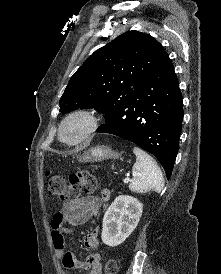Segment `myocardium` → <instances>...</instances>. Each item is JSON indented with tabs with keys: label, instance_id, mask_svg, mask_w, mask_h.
<instances>
[{
	"label": "myocardium",
	"instance_id": "obj_1",
	"mask_svg": "<svg viewBox=\"0 0 221 274\" xmlns=\"http://www.w3.org/2000/svg\"><path fill=\"white\" fill-rule=\"evenodd\" d=\"M80 123V132L72 139L65 137L66 128L72 123ZM99 117L95 110L79 108L69 112L60 122L57 137L60 143L66 146H75L88 139L98 128Z\"/></svg>",
	"mask_w": 221,
	"mask_h": 274
}]
</instances>
